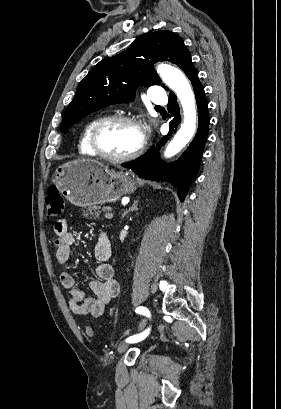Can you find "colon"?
Returning a JSON list of instances; mask_svg holds the SVG:
<instances>
[{
  "mask_svg": "<svg viewBox=\"0 0 281 409\" xmlns=\"http://www.w3.org/2000/svg\"><path fill=\"white\" fill-rule=\"evenodd\" d=\"M47 217L51 220L58 218L64 210V202L57 188H51L46 195ZM86 335L92 334L91 328L85 329Z\"/></svg>",
  "mask_w": 281,
  "mask_h": 409,
  "instance_id": "colon-1",
  "label": "colon"
}]
</instances>
